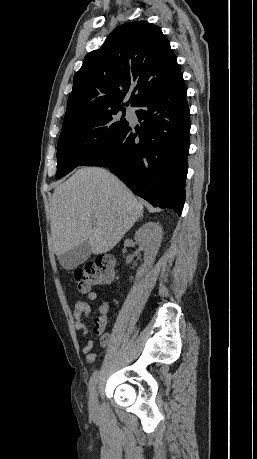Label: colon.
<instances>
[{
    "instance_id": "obj_1",
    "label": "colon",
    "mask_w": 257,
    "mask_h": 459,
    "mask_svg": "<svg viewBox=\"0 0 257 459\" xmlns=\"http://www.w3.org/2000/svg\"><path fill=\"white\" fill-rule=\"evenodd\" d=\"M113 276L114 259L111 256H102L91 260L73 272V280L82 292L89 291L93 286L109 282Z\"/></svg>"
}]
</instances>
